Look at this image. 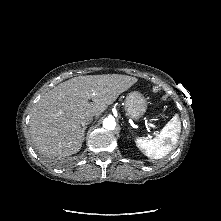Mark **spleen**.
<instances>
[{
  "label": "spleen",
  "instance_id": "obj_1",
  "mask_svg": "<svg viewBox=\"0 0 221 221\" xmlns=\"http://www.w3.org/2000/svg\"><path fill=\"white\" fill-rule=\"evenodd\" d=\"M181 132V122L177 114L165 125L153 139L137 138L136 146L149 158L161 159L166 156L177 143Z\"/></svg>",
  "mask_w": 221,
  "mask_h": 221
}]
</instances>
